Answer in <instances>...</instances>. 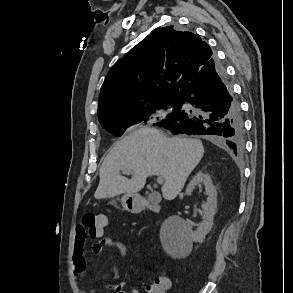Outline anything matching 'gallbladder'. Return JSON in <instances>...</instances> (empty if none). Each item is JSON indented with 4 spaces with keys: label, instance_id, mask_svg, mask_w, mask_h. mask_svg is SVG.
Wrapping results in <instances>:
<instances>
[{
    "label": "gallbladder",
    "instance_id": "1",
    "mask_svg": "<svg viewBox=\"0 0 293 293\" xmlns=\"http://www.w3.org/2000/svg\"><path fill=\"white\" fill-rule=\"evenodd\" d=\"M148 200H149V202L153 203L155 201V196L153 194H150L148 196Z\"/></svg>",
    "mask_w": 293,
    "mask_h": 293
}]
</instances>
